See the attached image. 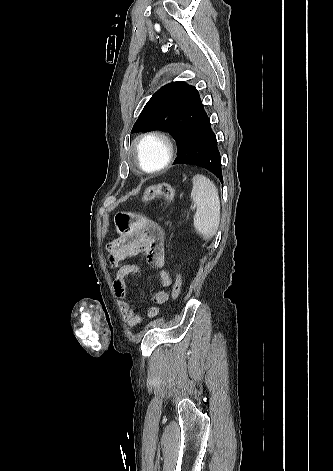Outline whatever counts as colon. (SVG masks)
<instances>
[{
  "label": "colon",
  "instance_id": "5ec220e1",
  "mask_svg": "<svg viewBox=\"0 0 333 471\" xmlns=\"http://www.w3.org/2000/svg\"><path fill=\"white\" fill-rule=\"evenodd\" d=\"M175 198V190L172 185L168 183H159L149 186L143 196V202H150L155 199H163L167 202H173ZM182 289V276L179 271L176 273L175 282L172 287V297L177 300L180 296Z\"/></svg>",
  "mask_w": 333,
  "mask_h": 471
}]
</instances>
